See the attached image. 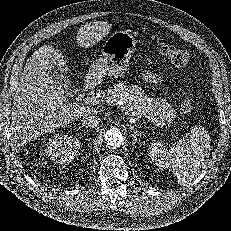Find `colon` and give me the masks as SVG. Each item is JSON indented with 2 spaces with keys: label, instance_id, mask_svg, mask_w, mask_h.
Masks as SVG:
<instances>
[{
  "label": "colon",
  "instance_id": "5ec220e1",
  "mask_svg": "<svg viewBox=\"0 0 231 231\" xmlns=\"http://www.w3.org/2000/svg\"><path fill=\"white\" fill-rule=\"evenodd\" d=\"M155 48L159 54L166 57L173 65L177 67H185L190 61V54L185 49L173 47L163 41H157ZM182 109L186 112L193 110V98L187 93L181 101Z\"/></svg>",
  "mask_w": 231,
  "mask_h": 231
}]
</instances>
